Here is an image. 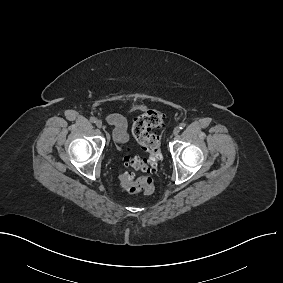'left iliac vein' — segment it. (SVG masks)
Wrapping results in <instances>:
<instances>
[{
  "label": "left iliac vein",
  "instance_id": "obj_1",
  "mask_svg": "<svg viewBox=\"0 0 283 283\" xmlns=\"http://www.w3.org/2000/svg\"><path fill=\"white\" fill-rule=\"evenodd\" d=\"M179 131H180L179 128L176 127V128L173 130V134H174V135H177V134L179 133Z\"/></svg>",
  "mask_w": 283,
  "mask_h": 283
}]
</instances>
